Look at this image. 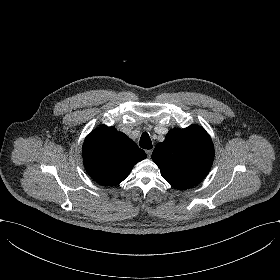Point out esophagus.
I'll return each instance as SVG.
<instances>
[{
	"instance_id": "34e87169",
	"label": "esophagus",
	"mask_w": 280,
	"mask_h": 280,
	"mask_svg": "<svg viewBox=\"0 0 280 280\" xmlns=\"http://www.w3.org/2000/svg\"><path fill=\"white\" fill-rule=\"evenodd\" d=\"M145 152H146V154H147V157H148V158H151V156H152V150H146Z\"/></svg>"
}]
</instances>
